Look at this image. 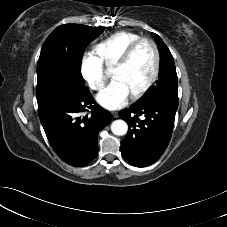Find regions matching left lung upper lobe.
Returning a JSON list of instances; mask_svg holds the SVG:
<instances>
[{
  "mask_svg": "<svg viewBox=\"0 0 227 227\" xmlns=\"http://www.w3.org/2000/svg\"><path fill=\"white\" fill-rule=\"evenodd\" d=\"M153 35L160 52L159 79L148 89L146 96L137 103H145L156 98L178 103V79L173 56L162 39L155 33Z\"/></svg>",
  "mask_w": 227,
  "mask_h": 227,
  "instance_id": "obj_1",
  "label": "left lung upper lobe"
}]
</instances>
